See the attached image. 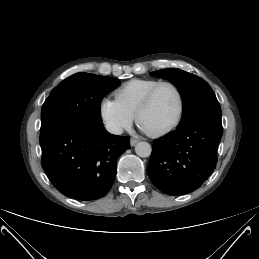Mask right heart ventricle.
I'll use <instances>...</instances> for the list:
<instances>
[{
    "mask_svg": "<svg viewBox=\"0 0 259 259\" xmlns=\"http://www.w3.org/2000/svg\"><path fill=\"white\" fill-rule=\"evenodd\" d=\"M158 82L160 81L157 79L149 78L132 79L115 91V99L124 110L136 116L143 98Z\"/></svg>",
    "mask_w": 259,
    "mask_h": 259,
    "instance_id": "obj_1",
    "label": "right heart ventricle"
}]
</instances>
